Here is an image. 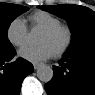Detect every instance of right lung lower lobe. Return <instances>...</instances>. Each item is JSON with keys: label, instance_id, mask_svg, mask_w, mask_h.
I'll use <instances>...</instances> for the list:
<instances>
[{"label": "right lung lower lobe", "instance_id": "right-lung-lower-lobe-1", "mask_svg": "<svg viewBox=\"0 0 95 95\" xmlns=\"http://www.w3.org/2000/svg\"><path fill=\"white\" fill-rule=\"evenodd\" d=\"M15 54V49L0 53V95H19L23 79L34 69L23 58L8 63Z\"/></svg>", "mask_w": 95, "mask_h": 95}]
</instances>
